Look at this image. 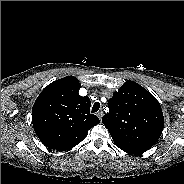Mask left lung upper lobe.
<instances>
[{
	"label": "left lung upper lobe",
	"mask_w": 184,
	"mask_h": 184,
	"mask_svg": "<svg viewBox=\"0 0 184 184\" xmlns=\"http://www.w3.org/2000/svg\"><path fill=\"white\" fill-rule=\"evenodd\" d=\"M102 117L117 147L129 154L150 149L164 128L162 109L156 98L134 81H126L108 101Z\"/></svg>",
	"instance_id": "1"
}]
</instances>
